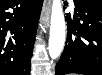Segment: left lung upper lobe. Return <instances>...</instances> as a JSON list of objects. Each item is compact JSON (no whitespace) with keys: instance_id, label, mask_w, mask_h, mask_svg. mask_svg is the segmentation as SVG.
I'll return each instance as SVG.
<instances>
[{"instance_id":"1","label":"left lung upper lobe","mask_w":102,"mask_h":75,"mask_svg":"<svg viewBox=\"0 0 102 75\" xmlns=\"http://www.w3.org/2000/svg\"><path fill=\"white\" fill-rule=\"evenodd\" d=\"M95 2H99V3H102V0H93Z\"/></svg>"}]
</instances>
